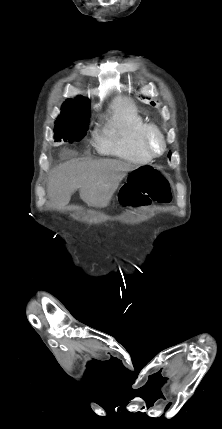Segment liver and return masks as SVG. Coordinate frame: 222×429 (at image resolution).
<instances>
[{
    "label": "liver",
    "mask_w": 222,
    "mask_h": 429,
    "mask_svg": "<svg viewBox=\"0 0 222 429\" xmlns=\"http://www.w3.org/2000/svg\"><path fill=\"white\" fill-rule=\"evenodd\" d=\"M136 167L115 159L71 160L54 168L48 177V197L55 209L65 207L71 195L80 190V198L93 207H105L126 173Z\"/></svg>",
    "instance_id": "1"
}]
</instances>
